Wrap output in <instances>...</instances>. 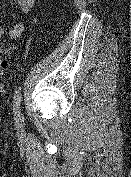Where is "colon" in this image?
<instances>
[{"mask_svg":"<svg viewBox=\"0 0 131 177\" xmlns=\"http://www.w3.org/2000/svg\"><path fill=\"white\" fill-rule=\"evenodd\" d=\"M8 68V62L3 59L0 51V72L5 71Z\"/></svg>","mask_w":131,"mask_h":177,"instance_id":"colon-1","label":"colon"}]
</instances>
